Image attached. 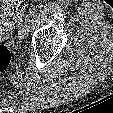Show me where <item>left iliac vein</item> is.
Instances as JSON below:
<instances>
[{"instance_id": "left-iliac-vein-1", "label": "left iliac vein", "mask_w": 113, "mask_h": 113, "mask_svg": "<svg viewBox=\"0 0 113 113\" xmlns=\"http://www.w3.org/2000/svg\"><path fill=\"white\" fill-rule=\"evenodd\" d=\"M28 33H29V26L27 24H23L19 30L20 39H26Z\"/></svg>"}]
</instances>
